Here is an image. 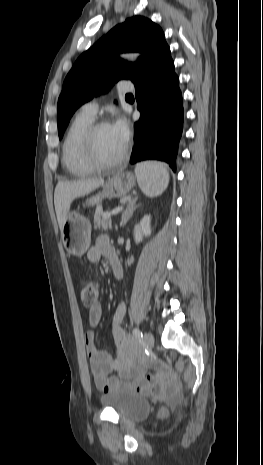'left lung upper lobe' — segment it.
I'll return each mask as SVG.
<instances>
[{"instance_id":"obj_1","label":"left lung upper lobe","mask_w":263,"mask_h":465,"mask_svg":"<svg viewBox=\"0 0 263 465\" xmlns=\"http://www.w3.org/2000/svg\"><path fill=\"white\" fill-rule=\"evenodd\" d=\"M167 44L162 29L151 20L134 16L115 26L75 62L58 99V133L61 139L71 116L83 103L107 92L121 80H133L153 55ZM139 52L136 63L124 62L120 53Z\"/></svg>"}]
</instances>
